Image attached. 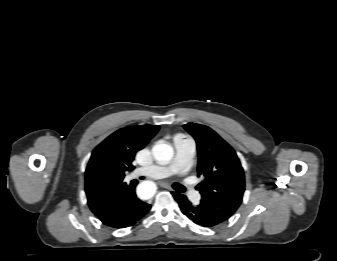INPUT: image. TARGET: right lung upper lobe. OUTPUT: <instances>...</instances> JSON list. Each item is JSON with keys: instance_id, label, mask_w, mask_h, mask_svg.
I'll return each instance as SVG.
<instances>
[{"instance_id": "right-lung-upper-lobe-1", "label": "right lung upper lobe", "mask_w": 337, "mask_h": 261, "mask_svg": "<svg viewBox=\"0 0 337 261\" xmlns=\"http://www.w3.org/2000/svg\"><path fill=\"white\" fill-rule=\"evenodd\" d=\"M159 128L157 125L122 128L93 150L85 172V192L97 217L129 186L123 181L126 171L133 167L136 152L146 146Z\"/></svg>"}]
</instances>
